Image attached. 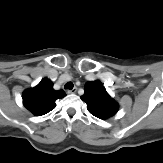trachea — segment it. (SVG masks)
Masks as SVG:
<instances>
[{
  "mask_svg": "<svg viewBox=\"0 0 163 163\" xmlns=\"http://www.w3.org/2000/svg\"><path fill=\"white\" fill-rule=\"evenodd\" d=\"M73 83L72 82H68V83H66L65 85H64V88L65 89H69V90H71V89H73Z\"/></svg>",
  "mask_w": 163,
  "mask_h": 163,
  "instance_id": "obj_1",
  "label": "trachea"
}]
</instances>
